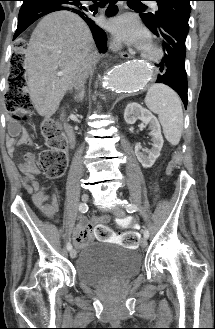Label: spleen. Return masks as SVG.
<instances>
[{
  "label": "spleen",
  "instance_id": "3e777b00",
  "mask_svg": "<svg viewBox=\"0 0 215 329\" xmlns=\"http://www.w3.org/2000/svg\"><path fill=\"white\" fill-rule=\"evenodd\" d=\"M145 104L158 114L167 141L178 145L183 131V111L177 93L164 84H155L148 89Z\"/></svg>",
  "mask_w": 215,
  "mask_h": 329
}]
</instances>
